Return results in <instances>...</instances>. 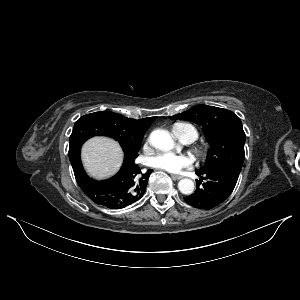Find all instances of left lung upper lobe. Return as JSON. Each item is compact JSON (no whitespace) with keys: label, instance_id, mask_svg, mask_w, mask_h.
I'll list each match as a JSON object with an SVG mask.
<instances>
[{"label":"left lung upper lobe","instance_id":"1","mask_svg":"<svg viewBox=\"0 0 300 300\" xmlns=\"http://www.w3.org/2000/svg\"><path fill=\"white\" fill-rule=\"evenodd\" d=\"M169 118L193 121L203 126L204 135L212 148L207 162L197 171L205 173L220 167L241 171L245 156V133L240 118L233 112L197 105Z\"/></svg>","mask_w":300,"mask_h":300}]
</instances>
